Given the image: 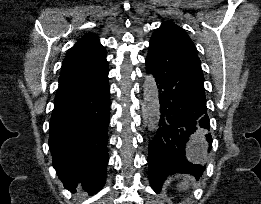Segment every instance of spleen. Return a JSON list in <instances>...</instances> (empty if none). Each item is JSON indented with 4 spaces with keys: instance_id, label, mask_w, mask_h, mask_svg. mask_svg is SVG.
Returning a JSON list of instances; mask_svg holds the SVG:
<instances>
[{
    "instance_id": "obj_1",
    "label": "spleen",
    "mask_w": 261,
    "mask_h": 204,
    "mask_svg": "<svg viewBox=\"0 0 261 204\" xmlns=\"http://www.w3.org/2000/svg\"><path fill=\"white\" fill-rule=\"evenodd\" d=\"M197 143L194 142L193 145L191 146V153L194 157H196L200 154H203L204 151H205V148H204L205 145L201 142H199L198 144ZM188 185H189V177H185L184 182L181 185H179V188L180 189H187Z\"/></svg>"
}]
</instances>
